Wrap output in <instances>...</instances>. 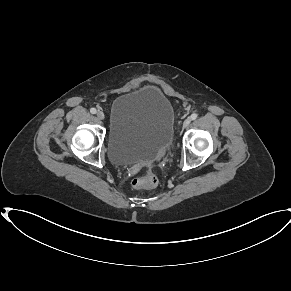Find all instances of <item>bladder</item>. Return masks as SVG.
I'll return each mask as SVG.
<instances>
[{
	"label": "bladder",
	"instance_id": "bladder-1",
	"mask_svg": "<svg viewBox=\"0 0 291 291\" xmlns=\"http://www.w3.org/2000/svg\"><path fill=\"white\" fill-rule=\"evenodd\" d=\"M173 121L171 102L151 86L118 95L110 108V161L123 166L153 160L171 145Z\"/></svg>",
	"mask_w": 291,
	"mask_h": 291
}]
</instances>
